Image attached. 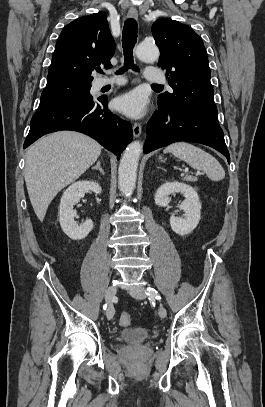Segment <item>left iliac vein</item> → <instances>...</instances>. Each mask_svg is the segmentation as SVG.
I'll list each match as a JSON object with an SVG mask.
<instances>
[{"label": "left iliac vein", "instance_id": "left-iliac-vein-1", "mask_svg": "<svg viewBox=\"0 0 265 407\" xmlns=\"http://www.w3.org/2000/svg\"><path fill=\"white\" fill-rule=\"evenodd\" d=\"M130 294L132 297L136 299H145L147 297L143 287H134L133 289L130 290ZM158 314L161 318H166L167 310L165 309L164 306L162 305L159 306Z\"/></svg>", "mask_w": 265, "mask_h": 407}]
</instances>
